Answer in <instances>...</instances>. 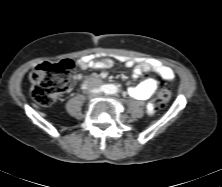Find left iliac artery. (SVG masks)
<instances>
[{
    "mask_svg": "<svg viewBox=\"0 0 222 187\" xmlns=\"http://www.w3.org/2000/svg\"><path fill=\"white\" fill-rule=\"evenodd\" d=\"M106 92L109 93V94H114L115 93L114 90L111 89V88H109Z\"/></svg>",
    "mask_w": 222,
    "mask_h": 187,
    "instance_id": "1",
    "label": "left iliac artery"
}]
</instances>
